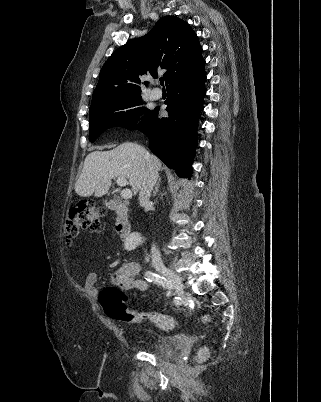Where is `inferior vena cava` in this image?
I'll return each instance as SVG.
<instances>
[{
    "mask_svg": "<svg viewBox=\"0 0 321 402\" xmlns=\"http://www.w3.org/2000/svg\"><path fill=\"white\" fill-rule=\"evenodd\" d=\"M146 157L148 159L147 164H146V171L144 173L143 180H142V183L140 186V191H139L140 206H145L149 203V198L151 196V192L158 179V172L154 168V166L151 164L148 154H146ZM151 260H152V264L155 266L163 265L160 252L154 244L151 247Z\"/></svg>",
    "mask_w": 321,
    "mask_h": 402,
    "instance_id": "602c4592",
    "label": "inferior vena cava"
}]
</instances>
